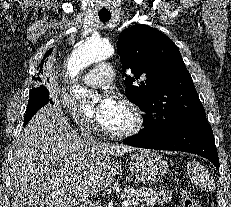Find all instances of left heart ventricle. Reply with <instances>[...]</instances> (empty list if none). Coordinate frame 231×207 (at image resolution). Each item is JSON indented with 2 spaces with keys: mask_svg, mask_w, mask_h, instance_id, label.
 Returning a JSON list of instances; mask_svg holds the SVG:
<instances>
[{
  "mask_svg": "<svg viewBox=\"0 0 231 207\" xmlns=\"http://www.w3.org/2000/svg\"><path fill=\"white\" fill-rule=\"evenodd\" d=\"M132 124L133 117L131 112L121 104L116 114L105 126L114 131H122L130 128Z\"/></svg>",
  "mask_w": 231,
  "mask_h": 207,
  "instance_id": "obj_1",
  "label": "left heart ventricle"
}]
</instances>
